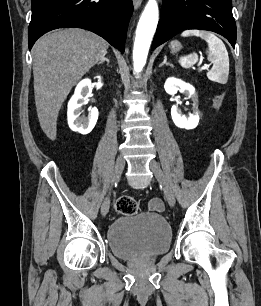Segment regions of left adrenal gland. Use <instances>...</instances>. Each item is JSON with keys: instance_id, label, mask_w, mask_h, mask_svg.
Instances as JSON below:
<instances>
[{"instance_id": "obj_1", "label": "left adrenal gland", "mask_w": 261, "mask_h": 306, "mask_svg": "<svg viewBox=\"0 0 261 306\" xmlns=\"http://www.w3.org/2000/svg\"><path fill=\"white\" fill-rule=\"evenodd\" d=\"M163 65H167V66H170V67H173V65L169 62H167V57L164 56V60L163 62L159 65V67H162Z\"/></svg>"}]
</instances>
